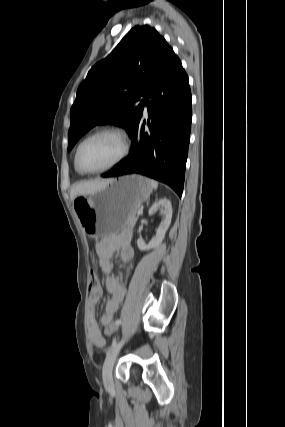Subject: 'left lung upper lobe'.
Segmentation results:
<instances>
[{
	"instance_id": "1",
	"label": "left lung upper lobe",
	"mask_w": 285,
	"mask_h": 427,
	"mask_svg": "<svg viewBox=\"0 0 285 427\" xmlns=\"http://www.w3.org/2000/svg\"><path fill=\"white\" fill-rule=\"evenodd\" d=\"M172 51L148 25L135 26L80 84L70 110L68 152L98 124H115L134 132L143 113L146 94ZM144 99L139 105L136 102Z\"/></svg>"
}]
</instances>
